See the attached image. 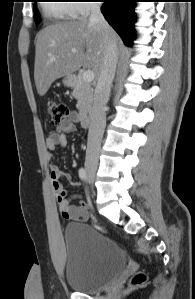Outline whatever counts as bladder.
<instances>
[{
	"mask_svg": "<svg viewBox=\"0 0 195 299\" xmlns=\"http://www.w3.org/2000/svg\"><path fill=\"white\" fill-rule=\"evenodd\" d=\"M65 280L71 289L91 292L113 282L127 261L119 246L86 223H70L63 233Z\"/></svg>",
	"mask_w": 195,
	"mask_h": 299,
	"instance_id": "1",
	"label": "bladder"
}]
</instances>
